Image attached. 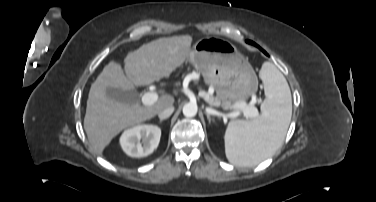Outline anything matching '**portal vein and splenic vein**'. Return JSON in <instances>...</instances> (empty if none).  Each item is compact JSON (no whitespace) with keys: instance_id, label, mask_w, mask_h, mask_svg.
<instances>
[{"instance_id":"1","label":"portal vein and splenic vein","mask_w":376,"mask_h":202,"mask_svg":"<svg viewBox=\"0 0 376 202\" xmlns=\"http://www.w3.org/2000/svg\"><path fill=\"white\" fill-rule=\"evenodd\" d=\"M157 99H158V95L154 92H147L142 96V102H143L144 105H152L157 101ZM242 106H245V104L243 103ZM208 113L214 115L216 113V111L214 109L210 108L208 110ZM255 113H256L255 108H247V116H252ZM237 116H238V112H231L230 113V117H232V118H235Z\"/></svg>"}]
</instances>
